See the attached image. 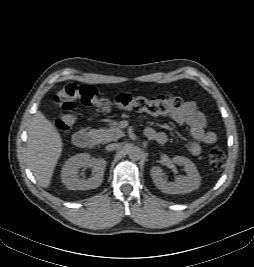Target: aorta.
Segmentation results:
<instances>
[{
  "mask_svg": "<svg viewBox=\"0 0 254 267\" xmlns=\"http://www.w3.org/2000/svg\"><path fill=\"white\" fill-rule=\"evenodd\" d=\"M127 154L130 159L136 161L140 160L143 156V151L141 150L140 147L130 144L127 146Z\"/></svg>",
  "mask_w": 254,
  "mask_h": 267,
  "instance_id": "1",
  "label": "aorta"
}]
</instances>
